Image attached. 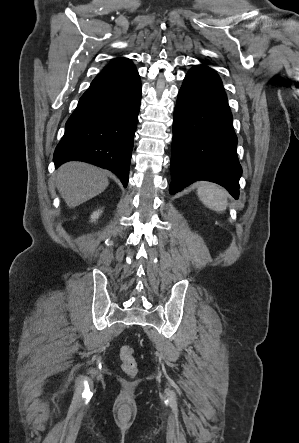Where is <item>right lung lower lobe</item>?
<instances>
[{
    "label": "right lung lower lobe",
    "instance_id": "right-lung-lower-lobe-1",
    "mask_svg": "<svg viewBox=\"0 0 299 443\" xmlns=\"http://www.w3.org/2000/svg\"><path fill=\"white\" fill-rule=\"evenodd\" d=\"M141 91L135 67L98 74L66 123L55 167L70 160L93 163L114 172L126 187Z\"/></svg>",
    "mask_w": 299,
    "mask_h": 443
}]
</instances>
